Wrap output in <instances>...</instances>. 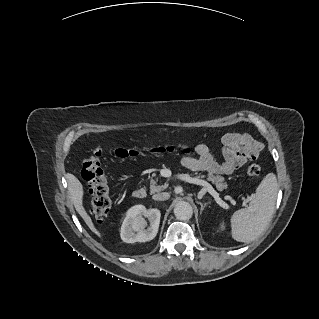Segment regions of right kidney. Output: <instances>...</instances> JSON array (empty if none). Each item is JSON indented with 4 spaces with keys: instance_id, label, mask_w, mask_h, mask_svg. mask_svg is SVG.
<instances>
[{
    "instance_id": "1",
    "label": "right kidney",
    "mask_w": 319,
    "mask_h": 319,
    "mask_svg": "<svg viewBox=\"0 0 319 319\" xmlns=\"http://www.w3.org/2000/svg\"><path fill=\"white\" fill-rule=\"evenodd\" d=\"M148 218L150 225L144 219ZM161 213L158 209H146L143 205L131 207L122 223L120 236L124 242H147L157 235Z\"/></svg>"
}]
</instances>
